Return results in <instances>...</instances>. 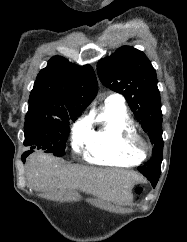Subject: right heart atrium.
<instances>
[{"instance_id":"d8ad5b80","label":"right heart atrium","mask_w":187,"mask_h":242,"mask_svg":"<svg viewBox=\"0 0 187 242\" xmlns=\"http://www.w3.org/2000/svg\"><path fill=\"white\" fill-rule=\"evenodd\" d=\"M88 136V123L85 119H79L72 127V146L75 150L79 149L86 141Z\"/></svg>"}]
</instances>
